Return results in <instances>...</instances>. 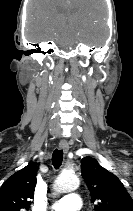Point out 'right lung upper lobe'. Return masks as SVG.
I'll list each match as a JSON object with an SVG mask.
<instances>
[{
	"label": "right lung upper lobe",
	"mask_w": 133,
	"mask_h": 211,
	"mask_svg": "<svg viewBox=\"0 0 133 211\" xmlns=\"http://www.w3.org/2000/svg\"><path fill=\"white\" fill-rule=\"evenodd\" d=\"M36 176V165H28L10 176L0 188V211H28Z\"/></svg>",
	"instance_id": "obj_1"
}]
</instances>
